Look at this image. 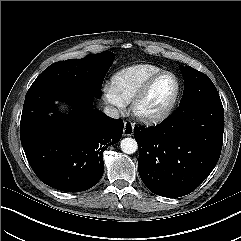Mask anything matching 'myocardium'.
<instances>
[{"instance_id": "obj_1", "label": "myocardium", "mask_w": 241, "mask_h": 241, "mask_svg": "<svg viewBox=\"0 0 241 241\" xmlns=\"http://www.w3.org/2000/svg\"><path fill=\"white\" fill-rule=\"evenodd\" d=\"M164 76H171L175 80L176 90L172 99L164 108H162L158 112L146 113L141 111L140 106L144 101V99L147 97L151 88L160 78ZM180 93H181V82L178 76L171 71L163 70L153 75L152 77H150L139 89L136 95L133 97L131 101V113L133 117L141 123L148 124V125L158 124L164 121L165 119H167L171 115V113L173 112V110L175 109L178 103Z\"/></svg>"}]
</instances>
